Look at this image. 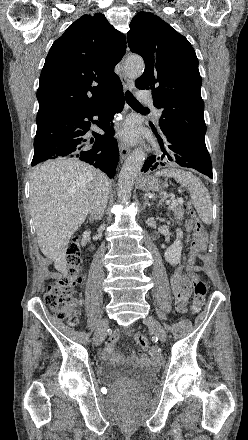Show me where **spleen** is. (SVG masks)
Instances as JSON below:
<instances>
[{"mask_svg":"<svg viewBox=\"0 0 248 440\" xmlns=\"http://www.w3.org/2000/svg\"><path fill=\"white\" fill-rule=\"evenodd\" d=\"M156 177H172L182 186L188 188L192 203L203 223H212V202L209 192L202 181L190 172L180 169H163L155 174Z\"/></svg>","mask_w":248,"mask_h":440,"instance_id":"3e777b00","label":"spleen"}]
</instances>
